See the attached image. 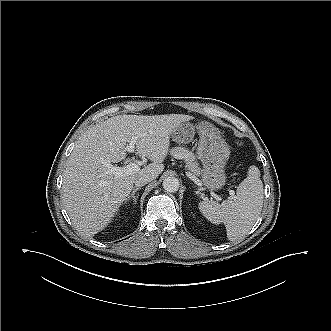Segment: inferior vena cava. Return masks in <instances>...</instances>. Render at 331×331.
<instances>
[{"mask_svg":"<svg viewBox=\"0 0 331 331\" xmlns=\"http://www.w3.org/2000/svg\"><path fill=\"white\" fill-rule=\"evenodd\" d=\"M154 178L152 176H148V175H142V176H138L135 180H134V184L136 187H141L146 185L147 183L153 181Z\"/></svg>","mask_w":331,"mask_h":331,"instance_id":"1","label":"inferior vena cava"}]
</instances>
